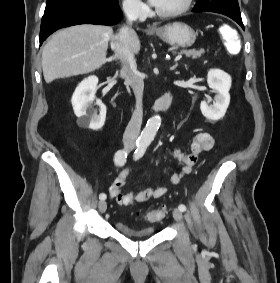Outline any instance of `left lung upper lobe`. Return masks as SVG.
Wrapping results in <instances>:
<instances>
[{
  "mask_svg": "<svg viewBox=\"0 0 280 283\" xmlns=\"http://www.w3.org/2000/svg\"><path fill=\"white\" fill-rule=\"evenodd\" d=\"M193 10L216 12L228 17L241 18L238 0H197Z\"/></svg>",
  "mask_w": 280,
  "mask_h": 283,
  "instance_id": "obj_1",
  "label": "left lung upper lobe"
}]
</instances>
